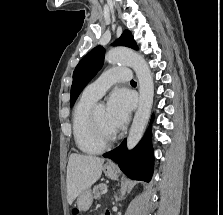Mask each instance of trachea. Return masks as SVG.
I'll list each match as a JSON object with an SVG mask.
<instances>
[{
	"label": "trachea",
	"instance_id": "obj_1",
	"mask_svg": "<svg viewBox=\"0 0 223 215\" xmlns=\"http://www.w3.org/2000/svg\"><path fill=\"white\" fill-rule=\"evenodd\" d=\"M130 83H136L134 80H131V82Z\"/></svg>",
	"mask_w": 223,
	"mask_h": 215
}]
</instances>
